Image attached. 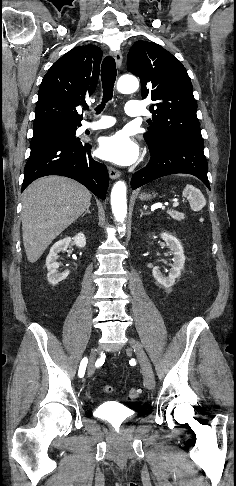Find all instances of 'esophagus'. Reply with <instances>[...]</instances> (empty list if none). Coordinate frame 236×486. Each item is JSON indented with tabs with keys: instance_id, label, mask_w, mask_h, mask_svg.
<instances>
[{
	"instance_id": "34e87169",
	"label": "esophagus",
	"mask_w": 236,
	"mask_h": 486,
	"mask_svg": "<svg viewBox=\"0 0 236 486\" xmlns=\"http://www.w3.org/2000/svg\"><path fill=\"white\" fill-rule=\"evenodd\" d=\"M112 56L115 59L117 67L120 68L121 65H122V59H123L122 53L120 51H114V52H112ZM108 172H109V176H110L111 179H117L121 176V172L117 169L112 168V167H109Z\"/></svg>"
}]
</instances>
